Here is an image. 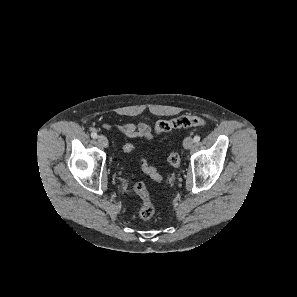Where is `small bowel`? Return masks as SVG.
<instances>
[{"label":"small bowel","mask_w":297,"mask_h":297,"mask_svg":"<svg viewBox=\"0 0 297 297\" xmlns=\"http://www.w3.org/2000/svg\"><path fill=\"white\" fill-rule=\"evenodd\" d=\"M102 128L108 131L116 129L120 133H122L125 137H128V138H138V137H143L146 139L152 138L151 128L144 123H140L138 125L130 122L117 123L113 125L104 123L102 125Z\"/></svg>","instance_id":"c3829d8e"}]
</instances>
